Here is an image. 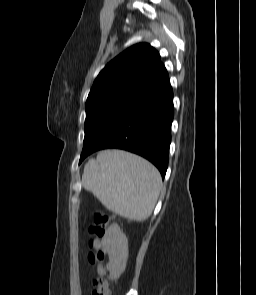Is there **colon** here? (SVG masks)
I'll return each instance as SVG.
<instances>
[{"mask_svg": "<svg viewBox=\"0 0 256 295\" xmlns=\"http://www.w3.org/2000/svg\"><path fill=\"white\" fill-rule=\"evenodd\" d=\"M110 220L111 218L107 213L96 212L93 215L92 223L88 226V234L90 236L88 261L97 267V274L93 280L92 295H110V288L106 279V268L103 264L106 254L102 250L101 245L96 243V240H101L105 235L106 227Z\"/></svg>", "mask_w": 256, "mask_h": 295, "instance_id": "1", "label": "colon"}]
</instances>
